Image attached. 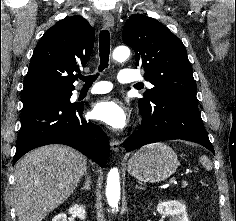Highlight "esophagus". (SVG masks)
<instances>
[{"label":"esophagus","mask_w":236,"mask_h":221,"mask_svg":"<svg viewBox=\"0 0 236 221\" xmlns=\"http://www.w3.org/2000/svg\"><path fill=\"white\" fill-rule=\"evenodd\" d=\"M103 24L106 28H113L114 18L109 12L104 13V15H103ZM119 145H120L119 140L112 137L111 140H110L111 150L114 151V152H117L119 150Z\"/></svg>","instance_id":"obj_1"}]
</instances>
